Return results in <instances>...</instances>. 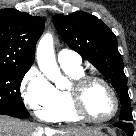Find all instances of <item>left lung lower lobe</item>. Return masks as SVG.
<instances>
[{
	"label": "left lung lower lobe",
	"instance_id": "1",
	"mask_svg": "<svg viewBox=\"0 0 136 136\" xmlns=\"http://www.w3.org/2000/svg\"><path fill=\"white\" fill-rule=\"evenodd\" d=\"M114 126L122 129L128 136H133V126L131 122L120 121L114 124Z\"/></svg>",
	"mask_w": 136,
	"mask_h": 136
}]
</instances>
